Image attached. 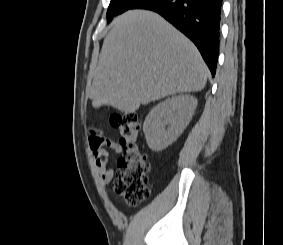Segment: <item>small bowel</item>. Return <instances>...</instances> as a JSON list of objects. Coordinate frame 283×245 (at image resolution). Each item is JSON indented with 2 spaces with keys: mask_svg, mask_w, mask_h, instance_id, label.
<instances>
[{
  "mask_svg": "<svg viewBox=\"0 0 283 245\" xmlns=\"http://www.w3.org/2000/svg\"><path fill=\"white\" fill-rule=\"evenodd\" d=\"M89 146L102 182L104 184L111 182L114 172L107 167L108 150L120 153L122 151V146L117 141L107 138L99 130H94L90 135Z\"/></svg>",
  "mask_w": 283,
  "mask_h": 245,
  "instance_id": "obj_1",
  "label": "small bowel"
}]
</instances>
